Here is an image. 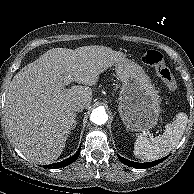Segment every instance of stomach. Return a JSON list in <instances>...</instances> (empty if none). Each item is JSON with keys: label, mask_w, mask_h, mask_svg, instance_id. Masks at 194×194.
I'll return each mask as SVG.
<instances>
[{"label": "stomach", "mask_w": 194, "mask_h": 194, "mask_svg": "<svg viewBox=\"0 0 194 194\" xmlns=\"http://www.w3.org/2000/svg\"><path fill=\"white\" fill-rule=\"evenodd\" d=\"M118 79L122 82L118 111L128 130L144 132L158 122L160 99L148 75L134 61L124 59L115 63Z\"/></svg>", "instance_id": "1"}]
</instances>
